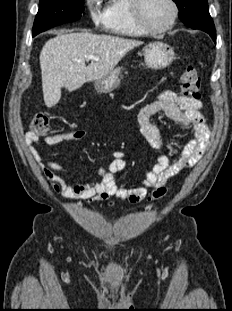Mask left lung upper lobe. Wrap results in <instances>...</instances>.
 <instances>
[{"label":"left lung upper lobe","mask_w":232,"mask_h":311,"mask_svg":"<svg viewBox=\"0 0 232 311\" xmlns=\"http://www.w3.org/2000/svg\"><path fill=\"white\" fill-rule=\"evenodd\" d=\"M179 9V17L186 25L208 12L207 0H173Z\"/></svg>","instance_id":"obj_1"}]
</instances>
